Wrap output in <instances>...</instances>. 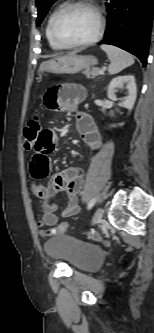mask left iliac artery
<instances>
[{
    "mask_svg": "<svg viewBox=\"0 0 154 333\" xmlns=\"http://www.w3.org/2000/svg\"><path fill=\"white\" fill-rule=\"evenodd\" d=\"M96 203V198H93L88 203V209L90 210Z\"/></svg>",
    "mask_w": 154,
    "mask_h": 333,
    "instance_id": "left-iliac-artery-1",
    "label": "left iliac artery"
}]
</instances>
